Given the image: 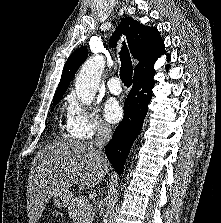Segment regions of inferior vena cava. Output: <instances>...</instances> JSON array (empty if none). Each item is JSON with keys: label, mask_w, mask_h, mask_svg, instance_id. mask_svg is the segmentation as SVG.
<instances>
[{"label": "inferior vena cava", "mask_w": 221, "mask_h": 223, "mask_svg": "<svg viewBox=\"0 0 221 223\" xmlns=\"http://www.w3.org/2000/svg\"><path fill=\"white\" fill-rule=\"evenodd\" d=\"M112 135V129L106 123H98L96 128V137L91 142L93 146H98L99 149L103 148L110 140ZM100 153H102L100 151Z\"/></svg>", "instance_id": "1"}]
</instances>
